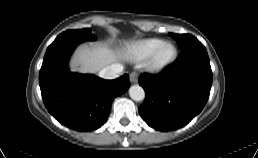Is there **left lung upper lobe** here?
<instances>
[{
  "instance_id": "obj_1",
  "label": "left lung upper lobe",
  "mask_w": 258,
  "mask_h": 158,
  "mask_svg": "<svg viewBox=\"0 0 258 158\" xmlns=\"http://www.w3.org/2000/svg\"><path fill=\"white\" fill-rule=\"evenodd\" d=\"M169 35L176 40L179 48L182 50L192 44L193 42L198 41L197 38L190 34H174V33H169Z\"/></svg>"
}]
</instances>
